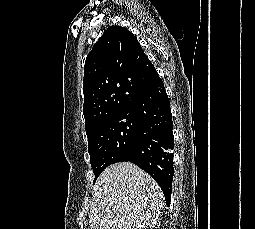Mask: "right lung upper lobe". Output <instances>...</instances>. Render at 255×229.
Instances as JSON below:
<instances>
[{
	"instance_id": "cb5924a9",
	"label": "right lung upper lobe",
	"mask_w": 255,
	"mask_h": 229,
	"mask_svg": "<svg viewBox=\"0 0 255 229\" xmlns=\"http://www.w3.org/2000/svg\"><path fill=\"white\" fill-rule=\"evenodd\" d=\"M156 73L136 36L110 26L87 55L83 80V114L87 137L138 95Z\"/></svg>"
}]
</instances>
